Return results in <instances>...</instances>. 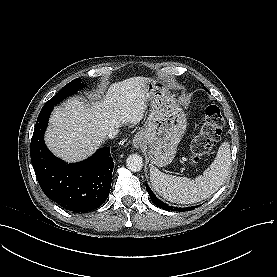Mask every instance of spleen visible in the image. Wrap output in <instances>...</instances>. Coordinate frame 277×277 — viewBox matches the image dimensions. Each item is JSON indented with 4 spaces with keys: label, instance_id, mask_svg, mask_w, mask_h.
<instances>
[{
    "label": "spleen",
    "instance_id": "1",
    "mask_svg": "<svg viewBox=\"0 0 277 277\" xmlns=\"http://www.w3.org/2000/svg\"><path fill=\"white\" fill-rule=\"evenodd\" d=\"M231 166L230 144L223 142L214 161L195 179L167 175L150 167L153 189L164 199L181 204L200 202L214 194L226 180Z\"/></svg>",
    "mask_w": 277,
    "mask_h": 277
}]
</instances>
